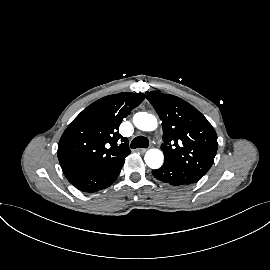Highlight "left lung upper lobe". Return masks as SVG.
<instances>
[{"instance_id": "left-lung-upper-lobe-1", "label": "left lung upper lobe", "mask_w": 270, "mask_h": 270, "mask_svg": "<svg viewBox=\"0 0 270 270\" xmlns=\"http://www.w3.org/2000/svg\"><path fill=\"white\" fill-rule=\"evenodd\" d=\"M162 120L161 149L165 162L204 176L217 152V135L207 119L179 97L160 91L146 92Z\"/></svg>"}]
</instances>
